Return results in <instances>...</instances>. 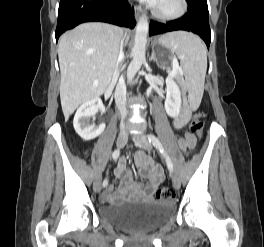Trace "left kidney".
<instances>
[{
    "label": "left kidney",
    "mask_w": 264,
    "mask_h": 247,
    "mask_svg": "<svg viewBox=\"0 0 264 247\" xmlns=\"http://www.w3.org/2000/svg\"><path fill=\"white\" fill-rule=\"evenodd\" d=\"M167 94L164 104L165 111L170 117H178L181 109V91L172 77L166 78Z\"/></svg>",
    "instance_id": "obj_1"
}]
</instances>
